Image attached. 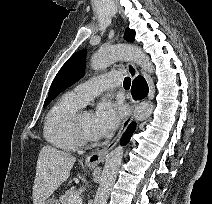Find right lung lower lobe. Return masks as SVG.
Listing matches in <instances>:
<instances>
[{"mask_svg":"<svg viewBox=\"0 0 212 204\" xmlns=\"http://www.w3.org/2000/svg\"><path fill=\"white\" fill-rule=\"evenodd\" d=\"M132 95L135 99H142L148 94V85L143 77H137L132 86Z\"/></svg>","mask_w":212,"mask_h":204,"instance_id":"obj_1","label":"right lung lower lobe"}]
</instances>
